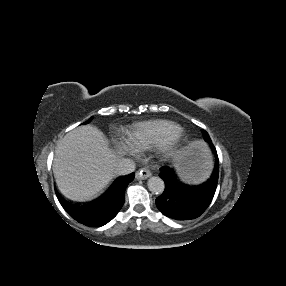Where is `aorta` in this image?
Wrapping results in <instances>:
<instances>
[{
    "label": "aorta",
    "mask_w": 286,
    "mask_h": 286,
    "mask_svg": "<svg viewBox=\"0 0 286 286\" xmlns=\"http://www.w3.org/2000/svg\"><path fill=\"white\" fill-rule=\"evenodd\" d=\"M147 185L148 189L155 194H161L165 189V183L163 179L158 176H153L149 178Z\"/></svg>",
    "instance_id": "1"
}]
</instances>
